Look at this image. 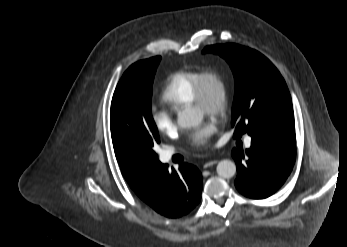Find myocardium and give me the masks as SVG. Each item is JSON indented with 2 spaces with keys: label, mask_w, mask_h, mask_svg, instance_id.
I'll return each instance as SVG.
<instances>
[{
  "label": "myocardium",
  "mask_w": 347,
  "mask_h": 247,
  "mask_svg": "<svg viewBox=\"0 0 347 247\" xmlns=\"http://www.w3.org/2000/svg\"><path fill=\"white\" fill-rule=\"evenodd\" d=\"M216 91L214 99L210 88ZM230 101L229 85L226 79L214 70L202 71L194 88L191 105L200 109L204 115L222 116L226 114Z\"/></svg>",
  "instance_id": "obj_1"
}]
</instances>
